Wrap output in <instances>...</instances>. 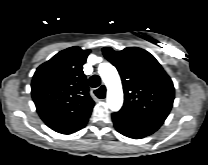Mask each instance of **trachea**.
Here are the masks:
<instances>
[{
	"label": "trachea",
	"mask_w": 208,
	"mask_h": 165,
	"mask_svg": "<svg viewBox=\"0 0 208 165\" xmlns=\"http://www.w3.org/2000/svg\"><path fill=\"white\" fill-rule=\"evenodd\" d=\"M100 77L97 75H93L90 77L89 84L92 88H97L100 85ZM95 95L103 99L105 97V89L103 87H100L99 89L94 91Z\"/></svg>",
	"instance_id": "trachea-1"
}]
</instances>
